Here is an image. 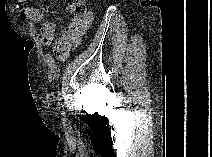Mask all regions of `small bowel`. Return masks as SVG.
Returning <instances> with one entry per match:
<instances>
[{"mask_svg": "<svg viewBox=\"0 0 212 157\" xmlns=\"http://www.w3.org/2000/svg\"><path fill=\"white\" fill-rule=\"evenodd\" d=\"M26 0H18V13L20 16L31 23L40 25V44L49 46L53 43L56 25L53 21L45 19L41 10L25 6ZM93 16L90 12H85L81 16L71 19L70 24L58 35L54 47L53 55L45 54L44 63L47 65L49 78L53 79L57 73L55 57L60 61H65L69 55L72 43L78 40L91 25Z\"/></svg>", "mask_w": 212, "mask_h": 157, "instance_id": "1", "label": "small bowel"}]
</instances>
